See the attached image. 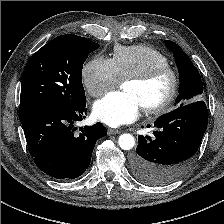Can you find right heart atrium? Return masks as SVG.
I'll return each instance as SVG.
<instances>
[{"mask_svg":"<svg viewBox=\"0 0 224 224\" xmlns=\"http://www.w3.org/2000/svg\"><path fill=\"white\" fill-rule=\"evenodd\" d=\"M121 81L118 72L110 58L96 56L85 64L82 70V82L93 97L116 87Z\"/></svg>","mask_w":224,"mask_h":224,"instance_id":"right-heart-atrium-1","label":"right heart atrium"}]
</instances>
